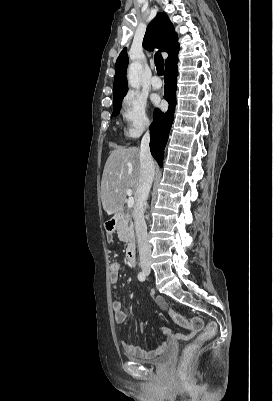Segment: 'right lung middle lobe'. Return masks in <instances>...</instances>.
<instances>
[{"label": "right lung middle lobe", "instance_id": "right-lung-middle-lobe-1", "mask_svg": "<svg viewBox=\"0 0 273 401\" xmlns=\"http://www.w3.org/2000/svg\"><path fill=\"white\" fill-rule=\"evenodd\" d=\"M119 111H120V105L113 108V113H112L111 116L113 117V116L118 115V114H119Z\"/></svg>", "mask_w": 273, "mask_h": 401}]
</instances>
